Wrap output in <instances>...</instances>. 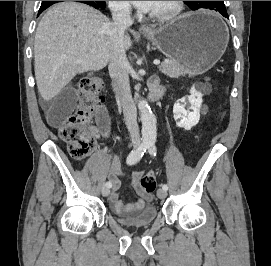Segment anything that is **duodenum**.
Listing matches in <instances>:
<instances>
[{
	"label": "duodenum",
	"instance_id": "obj_1",
	"mask_svg": "<svg viewBox=\"0 0 271 266\" xmlns=\"http://www.w3.org/2000/svg\"><path fill=\"white\" fill-rule=\"evenodd\" d=\"M112 87L114 91L119 92L120 86L118 84L113 83ZM162 93H163V89L160 88L159 86H155L152 88L149 97L151 100H156L162 95Z\"/></svg>",
	"mask_w": 271,
	"mask_h": 266
}]
</instances>
